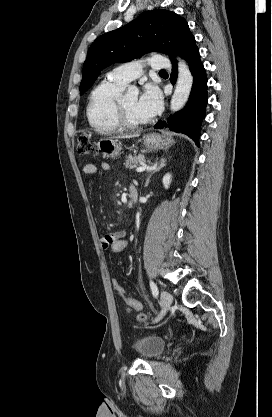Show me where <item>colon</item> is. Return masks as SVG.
I'll return each mask as SVG.
<instances>
[{
    "mask_svg": "<svg viewBox=\"0 0 272 417\" xmlns=\"http://www.w3.org/2000/svg\"><path fill=\"white\" fill-rule=\"evenodd\" d=\"M95 147L93 145V143L91 142V140L86 137L83 136L79 139L78 141V152L81 155H93L95 154ZM128 247V241L125 237H118L116 239H113L110 244L108 245V252L110 254L116 255V254H120L122 252H124ZM112 288L113 290L119 294L127 303V305L130 308H133L136 311H140L141 310V303L139 300L129 296L125 289L122 287V285L120 284V282L117 279H112ZM141 318H143V316H141Z\"/></svg>",
    "mask_w": 272,
    "mask_h": 417,
    "instance_id": "obj_1",
    "label": "colon"
}]
</instances>
